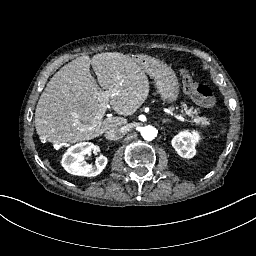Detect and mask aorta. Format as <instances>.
<instances>
[{
  "mask_svg": "<svg viewBox=\"0 0 256 256\" xmlns=\"http://www.w3.org/2000/svg\"><path fill=\"white\" fill-rule=\"evenodd\" d=\"M140 133L142 138L146 141H152L157 136V130L151 125L142 127Z\"/></svg>",
  "mask_w": 256,
  "mask_h": 256,
  "instance_id": "obj_1",
  "label": "aorta"
}]
</instances>
